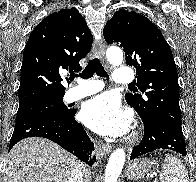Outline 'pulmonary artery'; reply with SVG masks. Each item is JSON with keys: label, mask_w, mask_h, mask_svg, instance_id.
Instances as JSON below:
<instances>
[{"label": "pulmonary artery", "mask_w": 196, "mask_h": 182, "mask_svg": "<svg viewBox=\"0 0 196 182\" xmlns=\"http://www.w3.org/2000/svg\"><path fill=\"white\" fill-rule=\"evenodd\" d=\"M135 79L133 71L126 67L116 69L113 80L118 85L132 84ZM103 89V83L100 80L79 79L78 85L68 91L70 101L79 100L86 96L95 94Z\"/></svg>", "instance_id": "e3ab8cb5"}]
</instances>
